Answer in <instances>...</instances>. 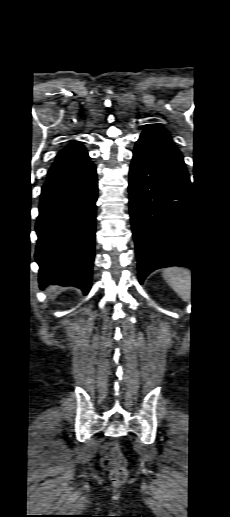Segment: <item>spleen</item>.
<instances>
[{
  "label": "spleen",
  "instance_id": "spleen-1",
  "mask_svg": "<svg viewBox=\"0 0 230 517\" xmlns=\"http://www.w3.org/2000/svg\"><path fill=\"white\" fill-rule=\"evenodd\" d=\"M163 277L184 301L191 299V272L188 269L168 268L163 271Z\"/></svg>",
  "mask_w": 230,
  "mask_h": 517
}]
</instances>
